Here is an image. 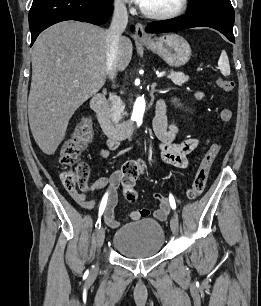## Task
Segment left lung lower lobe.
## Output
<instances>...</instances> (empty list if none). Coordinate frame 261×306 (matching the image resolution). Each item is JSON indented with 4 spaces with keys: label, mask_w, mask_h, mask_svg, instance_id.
<instances>
[{
    "label": "left lung lower lobe",
    "mask_w": 261,
    "mask_h": 306,
    "mask_svg": "<svg viewBox=\"0 0 261 306\" xmlns=\"http://www.w3.org/2000/svg\"><path fill=\"white\" fill-rule=\"evenodd\" d=\"M235 20L232 5L205 9L198 12H187L185 15L152 22L146 27L148 33H164L192 27H211L224 34L231 42H235L233 25Z\"/></svg>",
    "instance_id": "obj_1"
}]
</instances>
